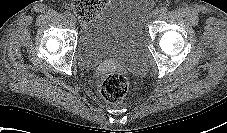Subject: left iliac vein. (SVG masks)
<instances>
[{
  "mask_svg": "<svg viewBox=\"0 0 227 133\" xmlns=\"http://www.w3.org/2000/svg\"><path fill=\"white\" fill-rule=\"evenodd\" d=\"M158 14H159V10H158V9H155V10H153L151 16H152L153 18H156V17L158 16Z\"/></svg>",
  "mask_w": 227,
  "mask_h": 133,
  "instance_id": "4c4485c4",
  "label": "left iliac vein"
}]
</instances>
